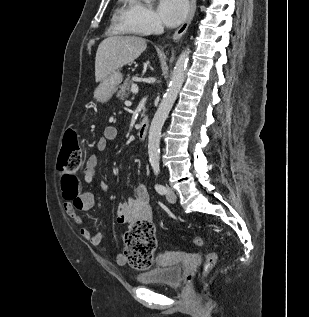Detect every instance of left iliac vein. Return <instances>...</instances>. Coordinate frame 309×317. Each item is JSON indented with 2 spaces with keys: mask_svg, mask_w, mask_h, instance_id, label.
Listing matches in <instances>:
<instances>
[{
  "mask_svg": "<svg viewBox=\"0 0 309 317\" xmlns=\"http://www.w3.org/2000/svg\"><path fill=\"white\" fill-rule=\"evenodd\" d=\"M166 199L172 204L176 202V194L169 186L166 187Z\"/></svg>",
  "mask_w": 309,
  "mask_h": 317,
  "instance_id": "1",
  "label": "left iliac vein"
}]
</instances>
